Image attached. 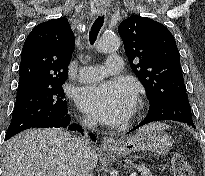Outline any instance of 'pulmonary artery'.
Masks as SVG:
<instances>
[{
    "label": "pulmonary artery",
    "instance_id": "1",
    "mask_svg": "<svg viewBox=\"0 0 205 176\" xmlns=\"http://www.w3.org/2000/svg\"><path fill=\"white\" fill-rule=\"evenodd\" d=\"M122 72V60L118 55H111L104 66H88L79 70L78 79L87 83L104 78L107 74H120Z\"/></svg>",
    "mask_w": 205,
    "mask_h": 176
}]
</instances>
